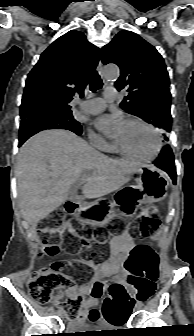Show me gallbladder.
I'll use <instances>...</instances> for the list:
<instances>
[{
    "label": "gallbladder",
    "mask_w": 194,
    "mask_h": 336,
    "mask_svg": "<svg viewBox=\"0 0 194 336\" xmlns=\"http://www.w3.org/2000/svg\"><path fill=\"white\" fill-rule=\"evenodd\" d=\"M73 193H74V192L72 191V193H71V195H72V198H76V197L73 195Z\"/></svg>",
    "instance_id": "bac80fb5"
}]
</instances>
